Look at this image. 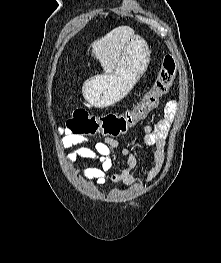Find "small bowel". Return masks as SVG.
I'll return each instance as SVG.
<instances>
[{"instance_id": "c3829d8e", "label": "small bowel", "mask_w": 221, "mask_h": 263, "mask_svg": "<svg viewBox=\"0 0 221 263\" xmlns=\"http://www.w3.org/2000/svg\"><path fill=\"white\" fill-rule=\"evenodd\" d=\"M177 111V102L169 101L164 109L165 116L151 124L135 127L140 134L141 142L146 146H154V167L148 172L145 182H151L160 172L165 159V142ZM57 134L61 137L60 148H74L67 154L66 162L72 164L79 158L98 160L99 167H88L82 171V177L94 180L96 186H102L107 181L120 183L123 186L141 183V180L134 176L132 170L137 166L136 156L127 147L122 146L116 139L105 137L102 141L93 143L88 137L76 135L67 128H60ZM119 149L126 157L127 167L120 173L107 176V172L113 166L112 150Z\"/></svg>"}]
</instances>
